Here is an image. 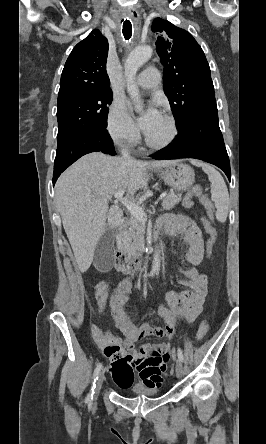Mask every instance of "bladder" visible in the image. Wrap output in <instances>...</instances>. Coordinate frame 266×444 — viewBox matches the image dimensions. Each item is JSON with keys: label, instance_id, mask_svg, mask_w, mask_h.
I'll list each match as a JSON object with an SVG mask.
<instances>
[{"label": "bladder", "instance_id": "1", "mask_svg": "<svg viewBox=\"0 0 266 444\" xmlns=\"http://www.w3.org/2000/svg\"><path fill=\"white\" fill-rule=\"evenodd\" d=\"M133 394L141 397H155L158 395L159 391L155 389H149L141 386L134 387L132 390Z\"/></svg>", "mask_w": 266, "mask_h": 444}]
</instances>
